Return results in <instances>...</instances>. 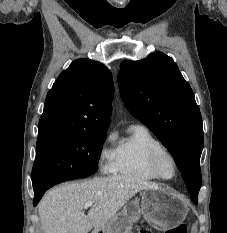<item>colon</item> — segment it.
Instances as JSON below:
<instances>
[{
    "label": "colon",
    "instance_id": "1",
    "mask_svg": "<svg viewBox=\"0 0 227 233\" xmlns=\"http://www.w3.org/2000/svg\"><path fill=\"white\" fill-rule=\"evenodd\" d=\"M139 233H154L151 229H141ZM165 233H187V228L185 225L176 226Z\"/></svg>",
    "mask_w": 227,
    "mask_h": 233
}]
</instances>
